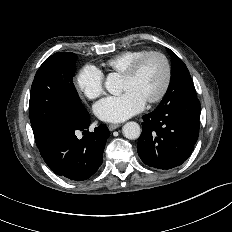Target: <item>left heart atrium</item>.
<instances>
[{
  "label": "left heart atrium",
  "instance_id": "39dd6f15",
  "mask_svg": "<svg viewBox=\"0 0 232 232\" xmlns=\"http://www.w3.org/2000/svg\"><path fill=\"white\" fill-rule=\"evenodd\" d=\"M145 100L135 91L128 90L118 96H109L94 106L97 117L105 122H122L139 113L145 106Z\"/></svg>",
  "mask_w": 232,
  "mask_h": 232
}]
</instances>
